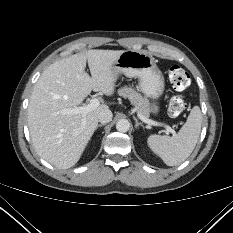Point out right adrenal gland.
I'll list each match as a JSON object with an SVG mask.
<instances>
[{
    "label": "right adrenal gland",
    "instance_id": "obj_1",
    "mask_svg": "<svg viewBox=\"0 0 233 233\" xmlns=\"http://www.w3.org/2000/svg\"><path fill=\"white\" fill-rule=\"evenodd\" d=\"M105 124H99L98 126H97V128H96V130L99 128V127H102V126H104Z\"/></svg>",
    "mask_w": 233,
    "mask_h": 233
}]
</instances>
